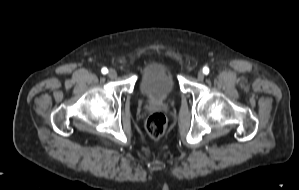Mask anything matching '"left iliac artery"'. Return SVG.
Instances as JSON below:
<instances>
[{
    "label": "left iliac artery",
    "mask_w": 299,
    "mask_h": 190,
    "mask_svg": "<svg viewBox=\"0 0 299 190\" xmlns=\"http://www.w3.org/2000/svg\"><path fill=\"white\" fill-rule=\"evenodd\" d=\"M203 73L207 75L209 73V68L208 67H204L203 68Z\"/></svg>",
    "instance_id": "1"
}]
</instances>
